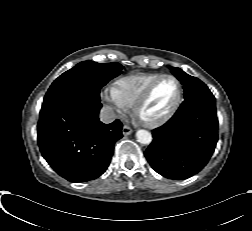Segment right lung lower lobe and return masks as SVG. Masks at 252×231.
Returning a JSON list of instances; mask_svg holds the SVG:
<instances>
[{
    "label": "right lung lower lobe",
    "instance_id": "1",
    "mask_svg": "<svg viewBox=\"0 0 252 231\" xmlns=\"http://www.w3.org/2000/svg\"><path fill=\"white\" fill-rule=\"evenodd\" d=\"M100 101L64 97L43 105L37 125L44 159L71 182L93 180L109 166L115 142L122 137L119 120L99 121Z\"/></svg>",
    "mask_w": 252,
    "mask_h": 231
}]
</instances>
